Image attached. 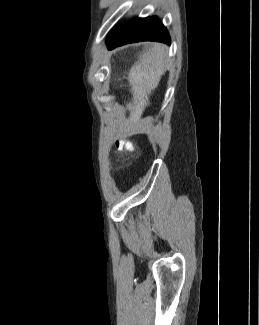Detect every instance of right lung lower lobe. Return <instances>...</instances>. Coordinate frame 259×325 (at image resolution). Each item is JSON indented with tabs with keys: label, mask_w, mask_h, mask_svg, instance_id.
I'll return each mask as SVG.
<instances>
[{
	"label": "right lung lower lobe",
	"mask_w": 259,
	"mask_h": 325,
	"mask_svg": "<svg viewBox=\"0 0 259 325\" xmlns=\"http://www.w3.org/2000/svg\"><path fill=\"white\" fill-rule=\"evenodd\" d=\"M139 41H158L168 44L171 39L166 28L156 16L136 18L123 27L117 28L113 35L107 39V48L111 50L127 43Z\"/></svg>",
	"instance_id": "98d812e1"
}]
</instances>
